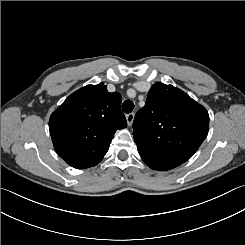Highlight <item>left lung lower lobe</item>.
I'll return each instance as SVG.
<instances>
[{"instance_id":"1","label":"left lung lower lobe","mask_w":245,"mask_h":245,"mask_svg":"<svg viewBox=\"0 0 245 245\" xmlns=\"http://www.w3.org/2000/svg\"><path fill=\"white\" fill-rule=\"evenodd\" d=\"M142 160L153 170L166 171L173 169L185 161L167 152H147L138 150Z\"/></svg>"}]
</instances>
